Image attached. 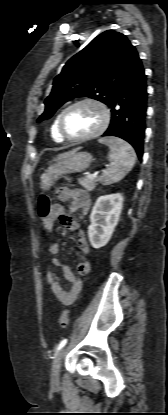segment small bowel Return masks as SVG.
I'll list each match as a JSON object with an SVG mask.
<instances>
[{
  "label": "small bowel",
  "instance_id": "small-bowel-1",
  "mask_svg": "<svg viewBox=\"0 0 168 415\" xmlns=\"http://www.w3.org/2000/svg\"><path fill=\"white\" fill-rule=\"evenodd\" d=\"M56 195L60 201L70 202V210L72 212L80 210L84 215L89 213L91 208V199L86 191L76 188L61 187L57 189ZM58 216L60 217L63 225L77 233L76 241L80 251L83 254L89 253L90 248L87 239L84 232L80 229L78 223L69 216L64 215L62 208L59 205H55L54 219ZM52 229L53 223L51 227L45 232H51ZM59 248V242L54 240L50 243L49 252L53 255H56L59 252ZM55 268H60L64 278L70 282L71 286L69 290H65L62 287L60 279L55 273ZM89 270L90 264L87 260L83 259L77 264V271L79 274H86L89 272ZM45 273L47 283L53 292V295L60 303L63 305H71L73 302H75L82 290L83 283L82 280L73 273L67 264L61 261L58 257H53L47 263Z\"/></svg>",
  "mask_w": 168,
  "mask_h": 415
}]
</instances>
